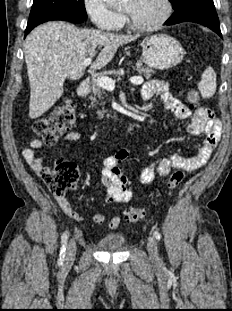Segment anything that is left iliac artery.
<instances>
[{"mask_svg": "<svg viewBox=\"0 0 232 311\" xmlns=\"http://www.w3.org/2000/svg\"><path fill=\"white\" fill-rule=\"evenodd\" d=\"M154 236H155V238H156L157 240H160V239H161V235H160V233H159L158 230H155V231H154Z\"/></svg>", "mask_w": 232, "mask_h": 311, "instance_id": "44dca946", "label": "left iliac artery"}]
</instances>
